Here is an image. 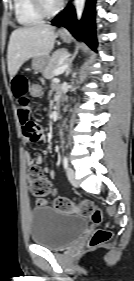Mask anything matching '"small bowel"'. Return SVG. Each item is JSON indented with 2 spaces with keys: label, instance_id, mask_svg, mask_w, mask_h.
Here are the masks:
<instances>
[{
  "label": "small bowel",
  "instance_id": "1",
  "mask_svg": "<svg viewBox=\"0 0 134 281\" xmlns=\"http://www.w3.org/2000/svg\"><path fill=\"white\" fill-rule=\"evenodd\" d=\"M30 81L24 74H16L11 80L12 93L18 103V118L22 125V131L24 137L30 142H45V136L42 133L40 127L30 120V110L32 106L31 96L29 94ZM28 166L40 165L42 158L38 154L25 155ZM45 174L50 178L55 177L53 169L48 167L44 168Z\"/></svg>",
  "mask_w": 134,
  "mask_h": 281
}]
</instances>
